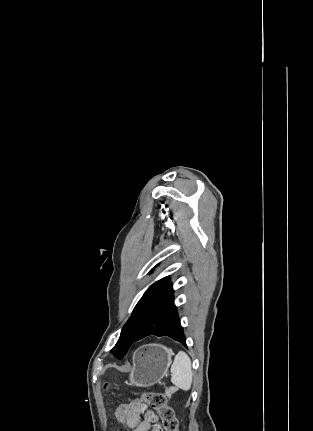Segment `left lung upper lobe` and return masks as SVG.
Wrapping results in <instances>:
<instances>
[{"label": "left lung upper lobe", "mask_w": 313, "mask_h": 431, "mask_svg": "<svg viewBox=\"0 0 313 431\" xmlns=\"http://www.w3.org/2000/svg\"><path fill=\"white\" fill-rule=\"evenodd\" d=\"M173 292L170 276L158 280L148 288L123 326L119 340L111 350L116 358H123L146 323L173 300Z\"/></svg>", "instance_id": "obj_1"}]
</instances>
